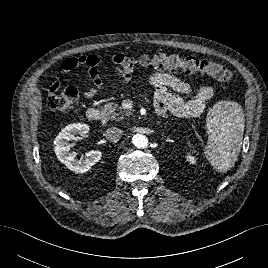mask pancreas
Masks as SVG:
<instances>
[{"mask_svg":"<svg viewBox=\"0 0 268 268\" xmlns=\"http://www.w3.org/2000/svg\"><path fill=\"white\" fill-rule=\"evenodd\" d=\"M104 112L113 120H122L125 116H130L131 112L122 110L117 104L113 102L107 103L104 108Z\"/></svg>","mask_w":268,"mask_h":268,"instance_id":"obj_1","label":"pancreas"}]
</instances>
